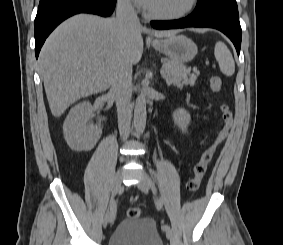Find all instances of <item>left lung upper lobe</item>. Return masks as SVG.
I'll use <instances>...</instances> for the list:
<instances>
[{"instance_id":"obj_1","label":"left lung upper lobe","mask_w":283,"mask_h":245,"mask_svg":"<svg viewBox=\"0 0 283 245\" xmlns=\"http://www.w3.org/2000/svg\"><path fill=\"white\" fill-rule=\"evenodd\" d=\"M194 15L221 16L239 21L236 0H198Z\"/></svg>"}]
</instances>
